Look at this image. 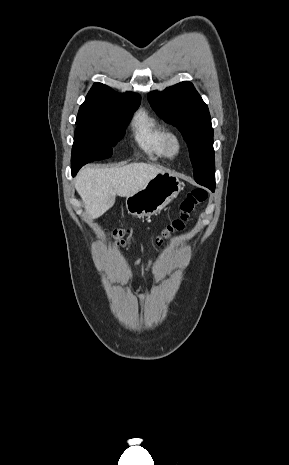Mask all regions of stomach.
<instances>
[{
	"label": "stomach",
	"instance_id": "1",
	"mask_svg": "<svg viewBox=\"0 0 289 465\" xmlns=\"http://www.w3.org/2000/svg\"><path fill=\"white\" fill-rule=\"evenodd\" d=\"M178 177L162 172L142 189L126 197V209L135 217H150L160 213L183 189Z\"/></svg>",
	"mask_w": 289,
	"mask_h": 465
}]
</instances>
